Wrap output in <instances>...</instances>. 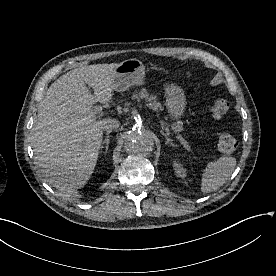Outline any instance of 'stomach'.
I'll return each instance as SVG.
<instances>
[{
    "label": "stomach",
    "mask_w": 276,
    "mask_h": 276,
    "mask_svg": "<svg viewBox=\"0 0 276 276\" xmlns=\"http://www.w3.org/2000/svg\"><path fill=\"white\" fill-rule=\"evenodd\" d=\"M146 69L138 59H128L121 62L115 69L113 75V88L115 91L123 92L134 85L145 83ZM169 116L179 119L185 110L186 98L182 88L175 83H166L164 86Z\"/></svg>",
    "instance_id": "1"
}]
</instances>
